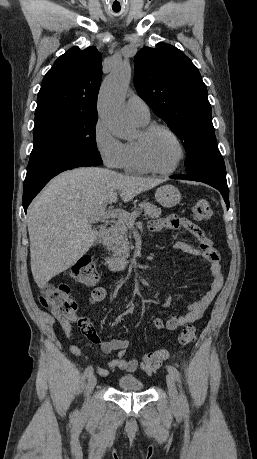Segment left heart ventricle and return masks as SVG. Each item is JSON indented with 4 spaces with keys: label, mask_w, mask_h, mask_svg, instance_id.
Here are the masks:
<instances>
[{
    "label": "left heart ventricle",
    "mask_w": 257,
    "mask_h": 459,
    "mask_svg": "<svg viewBox=\"0 0 257 459\" xmlns=\"http://www.w3.org/2000/svg\"><path fill=\"white\" fill-rule=\"evenodd\" d=\"M139 138V135L137 139ZM147 154L154 166L171 168L179 157V149L173 138L164 131L155 132L147 141Z\"/></svg>",
    "instance_id": "1"
}]
</instances>
